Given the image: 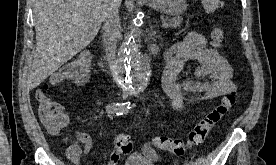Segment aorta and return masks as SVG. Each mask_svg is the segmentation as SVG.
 I'll use <instances>...</instances> for the list:
<instances>
[{
  "label": "aorta",
  "instance_id": "obj_1",
  "mask_svg": "<svg viewBox=\"0 0 276 165\" xmlns=\"http://www.w3.org/2000/svg\"><path fill=\"white\" fill-rule=\"evenodd\" d=\"M117 73L121 85L131 92L143 89L148 74L149 64L142 56L134 32H130L120 47Z\"/></svg>",
  "mask_w": 276,
  "mask_h": 165
}]
</instances>
